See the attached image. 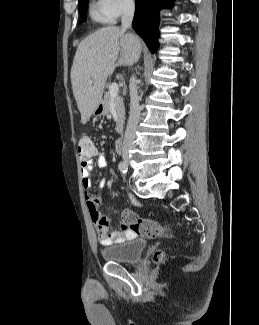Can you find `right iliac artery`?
I'll use <instances>...</instances> for the list:
<instances>
[{
    "instance_id": "82829eb1",
    "label": "right iliac artery",
    "mask_w": 259,
    "mask_h": 325,
    "mask_svg": "<svg viewBox=\"0 0 259 325\" xmlns=\"http://www.w3.org/2000/svg\"><path fill=\"white\" fill-rule=\"evenodd\" d=\"M122 165H127V164H126L125 162H122V161H121V162L119 163V165H118V168H119L120 171H121V166H122Z\"/></svg>"
}]
</instances>
